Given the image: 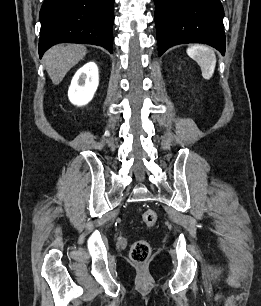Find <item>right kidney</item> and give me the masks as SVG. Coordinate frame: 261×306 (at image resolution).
I'll list each match as a JSON object with an SVG mask.
<instances>
[{"label":"right kidney","mask_w":261,"mask_h":306,"mask_svg":"<svg viewBox=\"0 0 261 306\" xmlns=\"http://www.w3.org/2000/svg\"><path fill=\"white\" fill-rule=\"evenodd\" d=\"M99 84L98 67L89 62L81 67L74 75L68 90L69 100L78 106L88 104Z\"/></svg>","instance_id":"1"}]
</instances>
